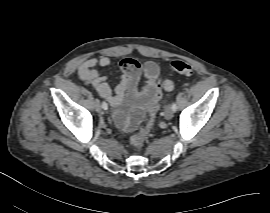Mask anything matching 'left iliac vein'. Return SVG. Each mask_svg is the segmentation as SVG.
<instances>
[{
  "instance_id": "1",
  "label": "left iliac vein",
  "mask_w": 270,
  "mask_h": 213,
  "mask_svg": "<svg viewBox=\"0 0 270 213\" xmlns=\"http://www.w3.org/2000/svg\"><path fill=\"white\" fill-rule=\"evenodd\" d=\"M173 116H174L173 110L171 109L170 106H167L165 108V110H164V117H165V119L170 120V119L173 118Z\"/></svg>"
}]
</instances>
